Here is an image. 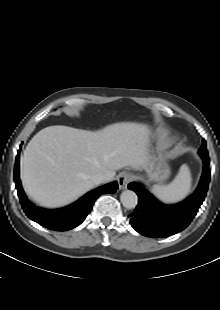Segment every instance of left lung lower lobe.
<instances>
[{
	"instance_id": "obj_1",
	"label": "left lung lower lobe",
	"mask_w": 220,
	"mask_h": 310,
	"mask_svg": "<svg viewBox=\"0 0 220 310\" xmlns=\"http://www.w3.org/2000/svg\"><path fill=\"white\" fill-rule=\"evenodd\" d=\"M202 159L203 173L196 191L178 204L159 202L137 182L128 185L139 198L136 209L129 215L130 223L137 232L153 238L168 237L190 224L204 201L210 181L209 156Z\"/></svg>"
}]
</instances>
